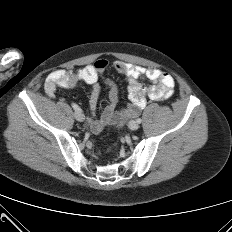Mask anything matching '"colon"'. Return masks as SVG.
<instances>
[{
    "label": "colon",
    "instance_id": "1",
    "mask_svg": "<svg viewBox=\"0 0 232 232\" xmlns=\"http://www.w3.org/2000/svg\"><path fill=\"white\" fill-rule=\"evenodd\" d=\"M129 115H133V110H128V114H119L118 115V122H117V124H116V129L117 130H122L123 129V127H124V124L125 123H127L128 122V120H129Z\"/></svg>",
    "mask_w": 232,
    "mask_h": 232
}]
</instances>
